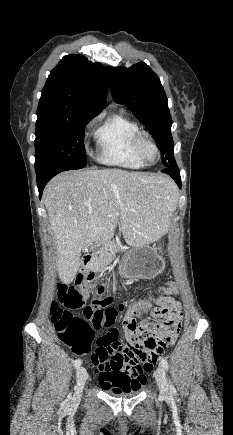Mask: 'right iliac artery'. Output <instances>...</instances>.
<instances>
[{"instance_id":"obj_1","label":"right iliac artery","mask_w":233,"mask_h":435,"mask_svg":"<svg viewBox=\"0 0 233 435\" xmlns=\"http://www.w3.org/2000/svg\"><path fill=\"white\" fill-rule=\"evenodd\" d=\"M80 365H81V360L80 359L75 360L74 362L75 368H78Z\"/></svg>"}]
</instances>
